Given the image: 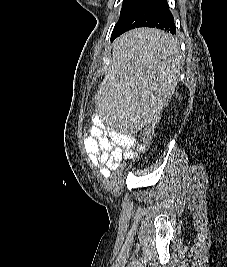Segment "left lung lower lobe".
<instances>
[{"label": "left lung lower lobe", "mask_w": 227, "mask_h": 267, "mask_svg": "<svg viewBox=\"0 0 227 267\" xmlns=\"http://www.w3.org/2000/svg\"><path fill=\"white\" fill-rule=\"evenodd\" d=\"M152 27L162 29L172 35L176 34L174 18L169 10L167 0H127L122 5L120 17L111 35V41L134 28ZM151 41L139 40L134 47L142 50Z\"/></svg>", "instance_id": "obj_1"}]
</instances>
